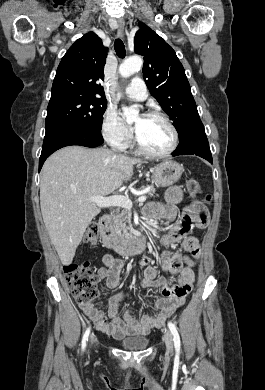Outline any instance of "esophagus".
<instances>
[{
    "label": "esophagus",
    "instance_id": "obj_1",
    "mask_svg": "<svg viewBox=\"0 0 265 390\" xmlns=\"http://www.w3.org/2000/svg\"><path fill=\"white\" fill-rule=\"evenodd\" d=\"M124 25L125 22L123 19H118L117 20V30H118V35L123 38L124 37Z\"/></svg>",
    "mask_w": 265,
    "mask_h": 390
}]
</instances>
